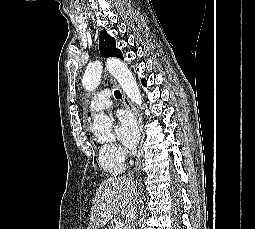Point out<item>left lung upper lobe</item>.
Segmentation results:
<instances>
[{
	"mask_svg": "<svg viewBox=\"0 0 255 229\" xmlns=\"http://www.w3.org/2000/svg\"><path fill=\"white\" fill-rule=\"evenodd\" d=\"M100 54L104 57H119L123 59V55L119 49L116 48V42L105 30L100 32L99 36Z\"/></svg>",
	"mask_w": 255,
	"mask_h": 229,
	"instance_id": "obj_1",
	"label": "left lung upper lobe"
}]
</instances>
